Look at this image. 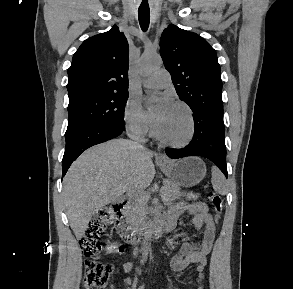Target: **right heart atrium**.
Listing matches in <instances>:
<instances>
[{
  "mask_svg": "<svg viewBox=\"0 0 293 289\" xmlns=\"http://www.w3.org/2000/svg\"><path fill=\"white\" fill-rule=\"evenodd\" d=\"M124 121L130 132L136 136L145 135L151 125L140 103L133 98L128 99L124 107Z\"/></svg>",
  "mask_w": 293,
  "mask_h": 289,
  "instance_id": "1",
  "label": "right heart atrium"
}]
</instances>
